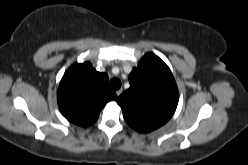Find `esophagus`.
Listing matches in <instances>:
<instances>
[{
  "label": "esophagus",
  "instance_id": "esophagus-1",
  "mask_svg": "<svg viewBox=\"0 0 248 165\" xmlns=\"http://www.w3.org/2000/svg\"><path fill=\"white\" fill-rule=\"evenodd\" d=\"M122 91H123L122 89H119V90L116 91V94H117L118 97L122 94Z\"/></svg>",
  "mask_w": 248,
  "mask_h": 165
}]
</instances>
